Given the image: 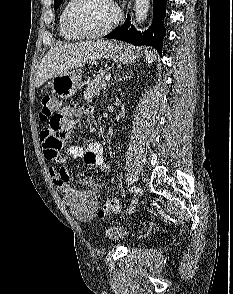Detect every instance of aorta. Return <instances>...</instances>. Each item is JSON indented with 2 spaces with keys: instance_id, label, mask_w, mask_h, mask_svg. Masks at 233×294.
<instances>
[{
  "instance_id": "1",
  "label": "aorta",
  "mask_w": 233,
  "mask_h": 294,
  "mask_svg": "<svg viewBox=\"0 0 233 294\" xmlns=\"http://www.w3.org/2000/svg\"><path fill=\"white\" fill-rule=\"evenodd\" d=\"M150 7V0H135V24L141 25L147 18Z\"/></svg>"
}]
</instances>
